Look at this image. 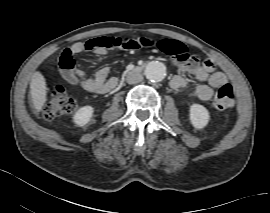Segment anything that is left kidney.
Segmentation results:
<instances>
[{
	"instance_id": "1",
	"label": "left kidney",
	"mask_w": 270,
	"mask_h": 213,
	"mask_svg": "<svg viewBox=\"0 0 270 213\" xmlns=\"http://www.w3.org/2000/svg\"><path fill=\"white\" fill-rule=\"evenodd\" d=\"M189 118L195 128L202 129L208 124L210 115L203 105L193 104L190 107Z\"/></svg>"
}]
</instances>
